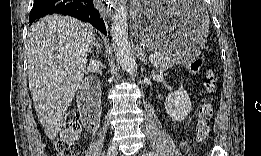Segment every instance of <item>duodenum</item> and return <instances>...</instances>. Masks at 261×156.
<instances>
[{
	"label": "duodenum",
	"mask_w": 261,
	"mask_h": 156,
	"mask_svg": "<svg viewBox=\"0 0 261 156\" xmlns=\"http://www.w3.org/2000/svg\"><path fill=\"white\" fill-rule=\"evenodd\" d=\"M78 105L80 114L86 121H91L93 124L98 123L101 95L98 83L95 80L87 81L80 89Z\"/></svg>",
	"instance_id": "410a0bca"
}]
</instances>
